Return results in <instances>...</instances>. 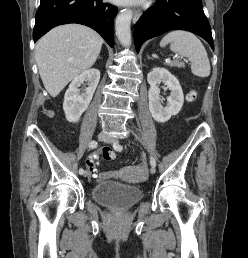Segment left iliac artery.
Returning <instances> with one entry per match:
<instances>
[{
  "instance_id": "1",
  "label": "left iliac artery",
  "mask_w": 248,
  "mask_h": 258,
  "mask_svg": "<svg viewBox=\"0 0 248 258\" xmlns=\"http://www.w3.org/2000/svg\"><path fill=\"white\" fill-rule=\"evenodd\" d=\"M113 147L116 151H122V149H123V147L119 144V142H115ZM150 164L152 167L156 166V161L152 156L150 157Z\"/></svg>"
}]
</instances>
